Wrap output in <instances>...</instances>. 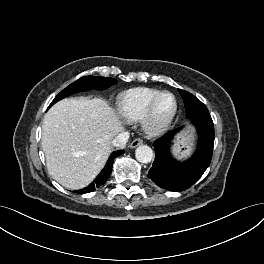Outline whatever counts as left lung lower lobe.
Returning a JSON list of instances; mask_svg holds the SVG:
<instances>
[{"mask_svg": "<svg viewBox=\"0 0 264 264\" xmlns=\"http://www.w3.org/2000/svg\"><path fill=\"white\" fill-rule=\"evenodd\" d=\"M199 133V144L188 161L179 162L170 154V144L179 129L171 130L154 142L155 160L149 178L159 187L169 191H184L191 187L208 168L214 145V124L211 116L192 120Z\"/></svg>", "mask_w": 264, "mask_h": 264, "instance_id": "0a47b994", "label": "left lung lower lobe"}]
</instances>
